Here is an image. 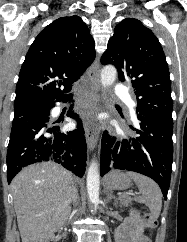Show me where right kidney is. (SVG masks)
Masks as SVG:
<instances>
[{
  "instance_id": "right-kidney-1",
  "label": "right kidney",
  "mask_w": 187,
  "mask_h": 242,
  "mask_svg": "<svg viewBox=\"0 0 187 242\" xmlns=\"http://www.w3.org/2000/svg\"><path fill=\"white\" fill-rule=\"evenodd\" d=\"M42 242H55V235L51 234L46 236Z\"/></svg>"
}]
</instances>
